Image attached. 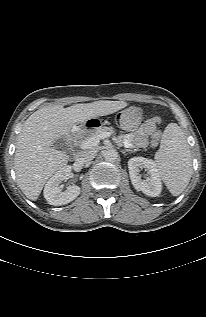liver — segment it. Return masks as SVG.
I'll return each mask as SVG.
<instances>
[{
	"label": "liver",
	"mask_w": 206,
	"mask_h": 317,
	"mask_svg": "<svg viewBox=\"0 0 206 317\" xmlns=\"http://www.w3.org/2000/svg\"><path fill=\"white\" fill-rule=\"evenodd\" d=\"M127 105L125 101L100 100L67 108L48 105L34 112L18 136L14 158L16 180L24 195L37 200L46 181L67 164V155L52 147L55 140L69 136L77 124L115 113Z\"/></svg>",
	"instance_id": "6515ba94"
}]
</instances>
